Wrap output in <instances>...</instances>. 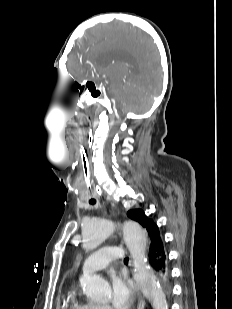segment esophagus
I'll use <instances>...</instances> for the list:
<instances>
[{
    "label": "esophagus",
    "mask_w": 232,
    "mask_h": 309,
    "mask_svg": "<svg viewBox=\"0 0 232 309\" xmlns=\"http://www.w3.org/2000/svg\"><path fill=\"white\" fill-rule=\"evenodd\" d=\"M143 308H144V301L143 298L140 297L137 309H143Z\"/></svg>",
    "instance_id": "obj_1"
}]
</instances>
